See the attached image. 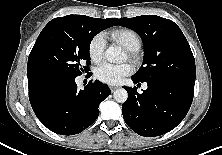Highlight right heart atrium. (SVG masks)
I'll use <instances>...</instances> for the list:
<instances>
[{"label":"right heart atrium","instance_id":"obj_1","mask_svg":"<svg viewBox=\"0 0 222 155\" xmlns=\"http://www.w3.org/2000/svg\"><path fill=\"white\" fill-rule=\"evenodd\" d=\"M107 42L105 36L102 33L96 34L89 44V56L93 62H99L106 48Z\"/></svg>","mask_w":222,"mask_h":155}]
</instances>
